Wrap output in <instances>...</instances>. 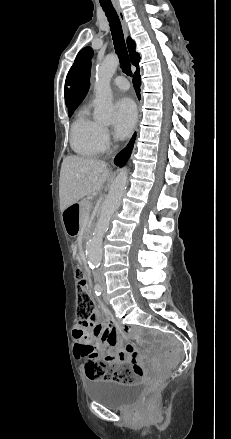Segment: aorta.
<instances>
[{"instance_id":"aorta-1","label":"aorta","mask_w":231,"mask_h":439,"mask_svg":"<svg viewBox=\"0 0 231 439\" xmlns=\"http://www.w3.org/2000/svg\"><path fill=\"white\" fill-rule=\"evenodd\" d=\"M118 58L108 55L96 68L94 118L103 123L111 121L113 113L112 91L110 81L118 67ZM128 173L122 169L113 181L110 191L103 203L93 236L86 245V256L91 267H99L103 256V237L107 232L114 212L120 206L127 186Z\"/></svg>"}]
</instances>
